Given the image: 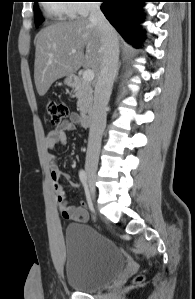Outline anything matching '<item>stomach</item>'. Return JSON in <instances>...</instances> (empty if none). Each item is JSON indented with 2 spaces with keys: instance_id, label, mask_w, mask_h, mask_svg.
I'll return each instance as SVG.
<instances>
[{
  "instance_id": "stomach-1",
  "label": "stomach",
  "mask_w": 195,
  "mask_h": 299,
  "mask_svg": "<svg viewBox=\"0 0 195 299\" xmlns=\"http://www.w3.org/2000/svg\"><path fill=\"white\" fill-rule=\"evenodd\" d=\"M65 84L68 85V86H74V83H73V77H72V76H68V77L65 79Z\"/></svg>"
}]
</instances>
